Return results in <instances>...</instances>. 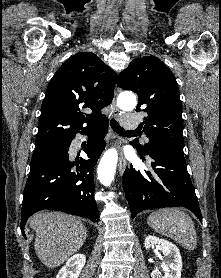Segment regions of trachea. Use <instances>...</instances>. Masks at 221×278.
I'll use <instances>...</instances> for the list:
<instances>
[{
	"label": "trachea",
	"mask_w": 221,
	"mask_h": 278,
	"mask_svg": "<svg viewBox=\"0 0 221 278\" xmlns=\"http://www.w3.org/2000/svg\"><path fill=\"white\" fill-rule=\"evenodd\" d=\"M110 125H111L112 129L119 134L138 133L137 130L125 131V129H123L115 119L110 120Z\"/></svg>",
	"instance_id": "3493384b"
}]
</instances>
